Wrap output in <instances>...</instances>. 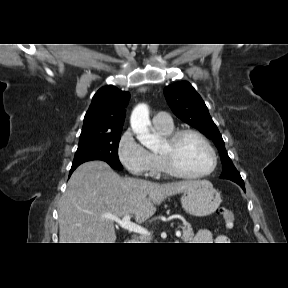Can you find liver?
I'll return each mask as SVG.
<instances>
[{"label": "liver", "mask_w": 288, "mask_h": 288, "mask_svg": "<svg viewBox=\"0 0 288 288\" xmlns=\"http://www.w3.org/2000/svg\"><path fill=\"white\" fill-rule=\"evenodd\" d=\"M202 181L154 183L122 178L105 162L89 161L71 175L59 205L60 243H114V221L108 215L133 214L143 223L156 212V205L185 192Z\"/></svg>", "instance_id": "1"}]
</instances>
